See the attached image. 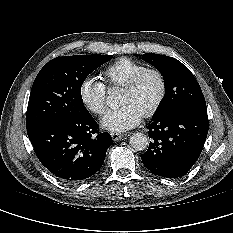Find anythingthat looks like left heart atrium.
Wrapping results in <instances>:
<instances>
[{
    "label": "left heart atrium",
    "instance_id": "obj_1",
    "mask_svg": "<svg viewBox=\"0 0 233 233\" xmlns=\"http://www.w3.org/2000/svg\"><path fill=\"white\" fill-rule=\"evenodd\" d=\"M143 118V114L133 105L124 104L120 108L109 112L102 119L105 129L123 132L137 126Z\"/></svg>",
    "mask_w": 233,
    "mask_h": 233
}]
</instances>
